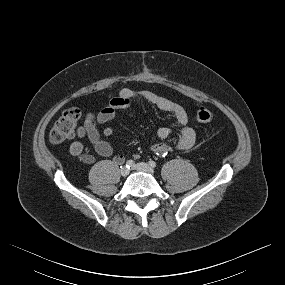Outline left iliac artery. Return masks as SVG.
<instances>
[{
    "label": "left iliac artery",
    "instance_id": "left-iliac-artery-1",
    "mask_svg": "<svg viewBox=\"0 0 285 285\" xmlns=\"http://www.w3.org/2000/svg\"><path fill=\"white\" fill-rule=\"evenodd\" d=\"M149 165L154 168V167H156V162L150 160V161H149Z\"/></svg>",
    "mask_w": 285,
    "mask_h": 285
}]
</instances>
